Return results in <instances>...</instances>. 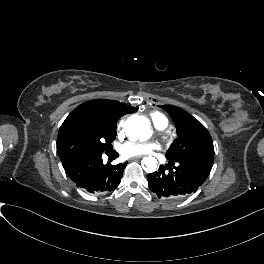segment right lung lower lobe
I'll use <instances>...</instances> for the list:
<instances>
[{"label": "right lung lower lobe", "mask_w": 264, "mask_h": 264, "mask_svg": "<svg viewBox=\"0 0 264 264\" xmlns=\"http://www.w3.org/2000/svg\"><path fill=\"white\" fill-rule=\"evenodd\" d=\"M125 167L126 163L109 165L95 175L76 184L90 193L111 192L120 184Z\"/></svg>", "instance_id": "98d812e1"}]
</instances>
